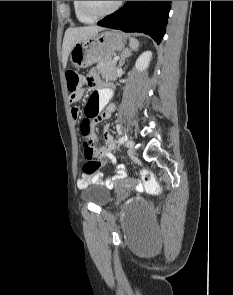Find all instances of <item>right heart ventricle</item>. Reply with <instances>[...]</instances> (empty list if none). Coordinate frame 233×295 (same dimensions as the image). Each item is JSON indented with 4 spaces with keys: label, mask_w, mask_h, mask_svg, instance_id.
<instances>
[{
    "label": "right heart ventricle",
    "mask_w": 233,
    "mask_h": 295,
    "mask_svg": "<svg viewBox=\"0 0 233 295\" xmlns=\"http://www.w3.org/2000/svg\"><path fill=\"white\" fill-rule=\"evenodd\" d=\"M72 7H73V11L74 14L77 18L78 21L82 22V23H90L92 22L94 19L85 16L79 9V3L78 1H72Z\"/></svg>",
    "instance_id": "right-heart-ventricle-1"
}]
</instances>
